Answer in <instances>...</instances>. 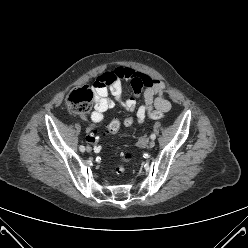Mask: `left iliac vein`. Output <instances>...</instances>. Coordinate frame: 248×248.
I'll use <instances>...</instances> for the list:
<instances>
[{
  "label": "left iliac vein",
  "instance_id": "1",
  "mask_svg": "<svg viewBox=\"0 0 248 248\" xmlns=\"http://www.w3.org/2000/svg\"><path fill=\"white\" fill-rule=\"evenodd\" d=\"M155 146V142L154 141H151L150 143H149V148L151 149V148H153Z\"/></svg>",
  "mask_w": 248,
  "mask_h": 248
}]
</instances>
